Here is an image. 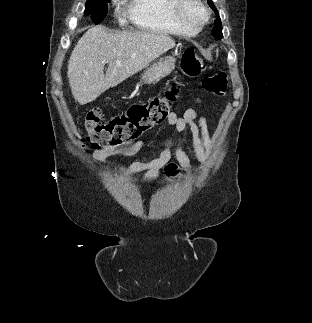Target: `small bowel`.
Here are the masks:
<instances>
[{"mask_svg": "<svg viewBox=\"0 0 312 323\" xmlns=\"http://www.w3.org/2000/svg\"><path fill=\"white\" fill-rule=\"evenodd\" d=\"M195 102H200L198 97H192ZM167 123L175 129L178 134L186 130L190 134V142L195 158L200 164L206 163L212 153L213 143L211 133L206 117L197 109H187L182 115L170 111L167 116ZM144 145L142 140L132 142L123 148H105L97 150L94 153L95 158L102 162L106 158L114 155H133L137 153ZM172 143L170 140L165 142V148L159 155L150 161H136L131 163L126 169V176L136 173H144V181L155 180L161 170L166 167L174 156L179 166L187 173H191L193 165L189 155L183 147L177 143L174 151L171 150Z\"/></svg>", "mask_w": 312, "mask_h": 323, "instance_id": "c3829d8e", "label": "small bowel"}]
</instances>
